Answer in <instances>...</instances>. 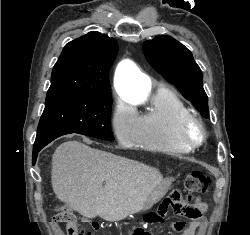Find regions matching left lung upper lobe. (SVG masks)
Wrapping results in <instances>:
<instances>
[{"label":"left lung upper lobe","instance_id":"obj_1","mask_svg":"<svg viewBox=\"0 0 250 235\" xmlns=\"http://www.w3.org/2000/svg\"><path fill=\"white\" fill-rule=\"evenodd\" d=\"M143 50L152 67L175 85L204 117H208L203 75L191 52L170 36H157L146 41Z\"/></svg>","mask_w":250,"mask_h":235}]
</instances>
